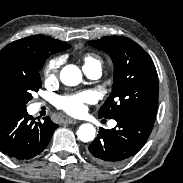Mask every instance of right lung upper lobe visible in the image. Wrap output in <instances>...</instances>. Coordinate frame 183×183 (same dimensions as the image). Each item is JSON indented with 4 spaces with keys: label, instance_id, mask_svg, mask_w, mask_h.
I'll return each mask as SVG.
<instances>
[{
    "label": "right lung upper lobe",
    "instance_id": "cb5924a9",
    "mask_svg": "<svg viewBox=\"0 0 183 183\" xmlns=\"http://www.w3.org/2000/svg\"><path fill=\"white\" fill-rule=\"evenodd\" d=\"M71 46L63 41L43 35H33L5 46L0 51V86L7 80L25 74L38 57L50 55L69 49ZM14 110L0 94V116Z\"/></svg>",
    "mask_w": 183,
    "mask_h": 183
}]
</instances>
